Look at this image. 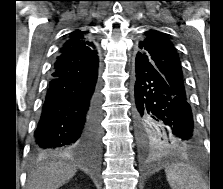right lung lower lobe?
<instances>
[{"instance_id":"obj_1","label":"right lung lower lobe","mask_w":223,"mask_h":189,"mask_svg":"<svg viewBox=\"0 0 223 189\" xmlns=\"http://www.w3.org/2000/svg\"><path fill=\"white\" fill-rule=\"evenodd\" d=\"M100 94L98 68L78 77L51 78L43 101L33 151L49 154L100 148Z\"/></svg>"}]
</instances>
